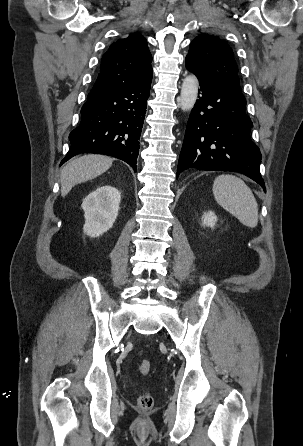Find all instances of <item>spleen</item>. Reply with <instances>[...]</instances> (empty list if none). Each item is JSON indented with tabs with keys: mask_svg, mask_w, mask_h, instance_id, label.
I'll use <instances>...</instances> for the list:
<instances>
[{
	"mask_svg": "<svg viewBox=\"0 0 303 446\" xmlns=\"http://www.w3.org/2000/svg\"><path fill=\"white\" fill-rule=\"evenodd\" d=\"M213 194L226 211L235 216L243 225L254 228L258 224V204L245 182L230 174L215 178Z\"/></svg>",
	"mask_w": 303,
	"mask_h": 446,
	"instance_id": "1",
	"label": "spleen"
}]
</instances>
